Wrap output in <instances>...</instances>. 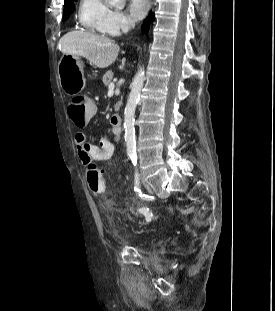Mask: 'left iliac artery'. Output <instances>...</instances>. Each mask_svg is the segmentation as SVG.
Listing matches in <instances>:
<instances>
[{
    "instance_id": "1",
    "label": "left iliac artery",
    "mask_w": 275,
    "mask_h": 311,
    "mask_svg": "<svg viewBox=\"0 0 275 311\" xmlns=\"http://www.w3.org/2000/svg\"><path fill=\"white\" fill-rule=\"evenodd\" d=\"M132 163L134 166L137 165V155L136 154H130ZM139 174L137 169L135 170V180H134V191H139ZM152 216V213H147V220H150V217Z\"/></svg>"
}]
</instances>
